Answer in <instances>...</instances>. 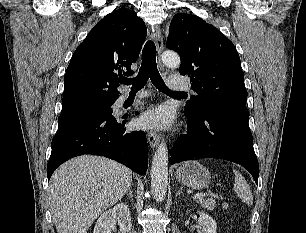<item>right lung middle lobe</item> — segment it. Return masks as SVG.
<instances>
[{"mask_svg": "<svg viewBox=\"0 0 306 233\" xmlns=\"http://www.w3.org/2000/svg\"><path fill=\"white\" fill-rule=\"evenodd\" d=\"M115 101L83 100L62 107L59 124L96 113L113 112L111 106Z\"/></svg>", "mask_w": 306, "mask_h": 233, "instance_id": "right-lung-middle-lobe-1", "label": "right lung middle lobe"}]
</instances>
